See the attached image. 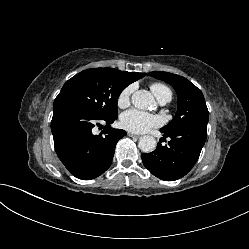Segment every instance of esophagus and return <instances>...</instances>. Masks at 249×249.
I'll use <instances>...</instances> for the list:
<instances>
[{
	"mask_svg": "<svg viewBox=\"0 0 249 249\" xmlns=\"http://www.w3.org/2000/svg\"><path fill=\"white\" fill-rule=\"evenodd\" d=\"M127 135H128L129 137H136V138L140 137L139 135L134 134V133H131V132H128Z\"/></svg>",
	"mask_w": 249,
	"mask_h": 249,
	"instance_id": "obj_1",
	"label": "esophagus"
}]
</instances>
